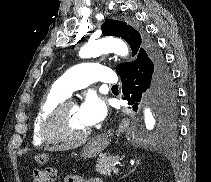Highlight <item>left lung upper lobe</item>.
I'll return each mask as SVG.
<instances>
[{
    "label": "left lung upper lobe",
    "mask_w": 211,
    "mask_h": 182,
    "mask_svg": "<svg viewBox=\"0 0 211 182\" xmlns=\"http://www.w3.org/2000/svg\"><path fill=\"white\" fill-rule=\"evenodd\" d=\"M102 33L105 36H117L125 41L128 42L132 49L133 56H137V54L143 50L145 47H147V42H142L141 35L138 31H136L133 27L130 25H127L126 22L117 21V20H106L103 25L101 26ZM133 62L131 63H122L117 65L116 71L118 74L123 73L126 71ZM176 115V107L172 112V115L167 120L169 122H173Z\"/></svg>",
    "instance_id": "obj_1"
}]
</instances>
